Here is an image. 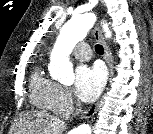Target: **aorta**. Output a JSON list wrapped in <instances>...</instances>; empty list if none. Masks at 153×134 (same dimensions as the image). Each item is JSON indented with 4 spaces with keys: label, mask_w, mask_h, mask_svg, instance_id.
<instances>
[{
    "label": "aorta",
    "mask_w": 153,
    "mask_h": 134,
    "mask_svg": "<svg viewBox=\"0 0 153 134\" xmlns=\"http://www.w3.org/2000/svg\"><path fill=\"white\" fill-rule=\"evenodd\" d=\"M94 16L90 13L73 16L61 29L60 35L54 45L50 55L49 71L53 78L62 84H72L75 76L73 66L69 61L75 45L86 37L93 26ZM106 37L111 36V32L105 25ZM75 134H92L89 125H81L75 129Z\"/></svg>",
    "instance_id": "obj_1"
}]
</instances>
